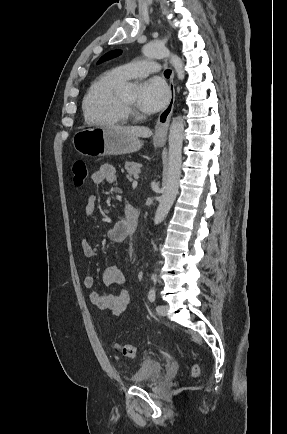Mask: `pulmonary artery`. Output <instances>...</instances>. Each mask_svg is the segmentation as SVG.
Masks as SVG:
<instances>
[{
    "label": "pulmonary artery",
    "instance_id": "1",
    "mask_svg": "<svg viewBox=\"0 0 287 434\" xmlns=\"http://www.w3.org/2000/svg\"><path fill=\"white\" fill-rule=\"evenodd\" d=\"M118 71L122 78L129 80L132 78H142L151 73H157L160 69L159 64L148 60H138L119 66Z\"/></svg>",
    "mask_w": 287,
    "mask_h": 434
}]
</instances>
